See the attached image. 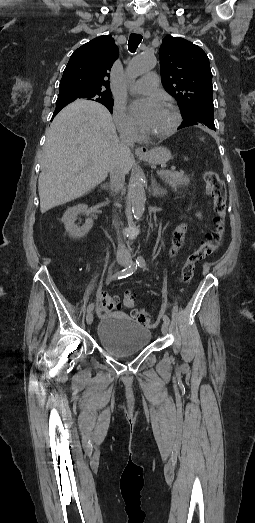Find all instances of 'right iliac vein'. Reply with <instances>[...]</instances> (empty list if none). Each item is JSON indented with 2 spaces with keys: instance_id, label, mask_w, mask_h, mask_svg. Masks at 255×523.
I'll list each match as a JSON object with an SVG mask.
<instances>
[{
  "instance_id": "1",
  "label": "right iliac vein",
  "mask_w": 255,
  "mask_h": 523,
  "mask_svg": "<svg viewBox=\"0 0 255 523\" xmlns=\"http://www.w3.org/2000/svg\"><path fill=\"white\" fill-rule=\"evenodd\" d=\"M117 263L119 265H121V266L127 265V262L123 258H118L117 259ZM86 321H87L88 325L92 324V322H93V313H92V311H88L87 316H86Z\"/></svg>"
}]
</instances>
